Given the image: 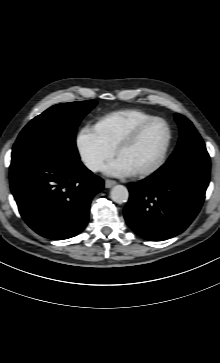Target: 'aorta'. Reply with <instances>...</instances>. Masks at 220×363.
Listing matches in <instances>:
<instances>
[{
    "label": "aorta",
    "instance_id": "aorta-1",
    "mask_svg": "<svg viewBox=\"0 0 220 363\" xmlns=\"http://www.w3.org/2000/svg\"><path fill=\"white\" fill-rule=\"evenodd\" d=\"M110 197L116 203H125L129 198L128 189L123 185H115L110 191Z\"/></svg>",
    "mask_w": 220,
    "mask_h": 363
}]
</instances>
